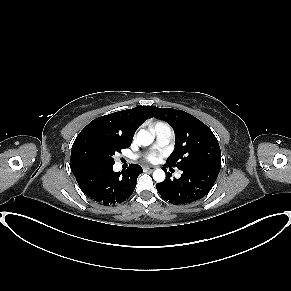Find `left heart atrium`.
<instances>
[{
	"label": "left heart atrium",
	"mask_w": 291,
	"mask_h": 291,
	"mask_svg": "<svg viewBox=\"0 0 291 291\" xmlns=\"http://www.w3.org/2000/svg\"><path fill=\"white\" fill-rule=\"evenodd\" d=\"M147 159H148L149 161H155V159H156V155H155V154H151V155H149V156L147 157Z\"/></svg>",
	"instance_id": "1"
}]
</instances>
